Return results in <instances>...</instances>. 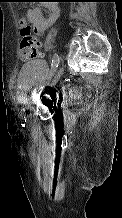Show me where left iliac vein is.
<instances>
[{
	"mask_svg": "<svg viewBox=\"0 0 122 218\" xmlns=\"http://www.w3.org/2000/svg\"><path fill=\"white\" fill-rule=\"evenodd\" d=\"M63 73H64V67L61 66L54 75V78L51 83L52 86L56 85V83L59 81Z\"/></svg>",
	"mask_w": 122,
	"mask_h": 218,
	"instance_id": "1",
	"label": "left iliac vein"
}]
</instances>
